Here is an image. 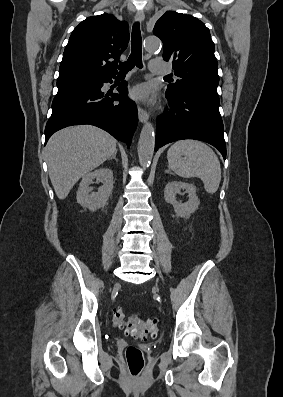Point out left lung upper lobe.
<instances>
[{"label": "left lung upper lobe", "instance_id": "5c2ea615", "mask_svg": "<svg viewBox=\"0 0 283 397\" xmlns=\"http://www.w3.org/2000/svg\"><path fill=\"white\" fill-rule=\"evenodd\" d=\"M153 33L164 44L163 59L173 64L175 75L181 78L167 90L196 92L219 100L218 63L205 24L192 15L167 11L156 22Z\"/></svg>", "mask_w": 283, "mask_h": 397}]
</instances>
